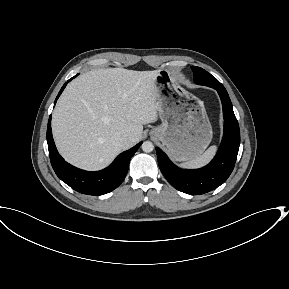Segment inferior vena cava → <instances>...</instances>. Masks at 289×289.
Returning <instances> with one entry per match:
<instances>
[{"mask_svg": "<svg viewBox=\"0 0 289 289\" xmlns=\"http://www.w3.org/2000/svg\"><path fill=\"white\" fill-rule=\"evenodd\" d=\"M126 140H127L126 136H120L118 138L119 144H124L126 142Z\"/></svg>", "mask_w": 289, "mask_h": 289, "instance_id": "602c4592", "label": "inferior vena cava"}]
</instances>
